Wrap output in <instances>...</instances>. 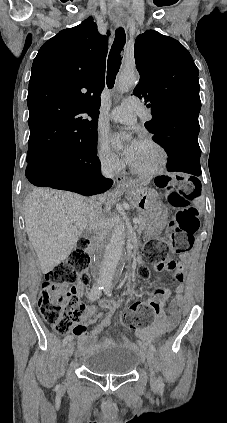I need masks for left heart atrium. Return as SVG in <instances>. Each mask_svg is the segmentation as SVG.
I'll list each match as a JSON object with an SVG mask.
<instances>
[{"mask_svg": "<svg viewBox=\"0 0 227 423\" xmlns=\"http://www.w3.org/2000/svg\"><path fill=\"white\" fill-rule=\"evenodd\" d=\"M142 141L135 140L131 143V145L127 148V150L124 153L125 159L128 163L132 164L134 162L136 152L141 146Z\"/></svg>", "mask_w": 227, "mask_h": 423, "instance_id": "39dd6f15", "label": "left heart atrium"}]
</instances>
